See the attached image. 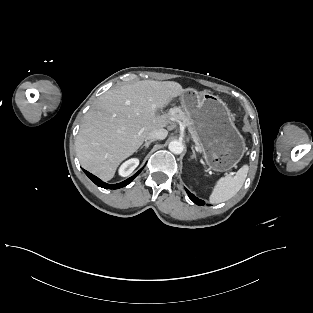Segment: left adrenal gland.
Instances as JSON below:
<instances>
[{
  "instance_id": "left-adrenal-gland-1",
  "label": "left adrenal gland",
  "mask_w": 313,
  "mask_h": 313,
  "mask_svg": "<svg viewBox=\"0 0 313 313\" xmlns=\"http://www.w3.org/2000/svg\"><path fill=\"white\" fill-rule=\"evenodd\" d=\"M191 149H192V153H193L192 156H191V159H195L196 160L197 157H196L195 150H194L193 147Z\"/></svg>"
}]
</instances>
